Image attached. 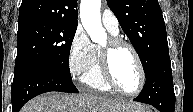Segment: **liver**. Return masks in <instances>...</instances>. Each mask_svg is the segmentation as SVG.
Here are the masks:
<instances>
[{
  "instance_id": "liver-1",
  "label": "liver",
  "mask_w": 193,
  "mask_h": 112,
  "mask_svg": "<svg viewBox=\"0 0 193 112\" xmlns=\"http://www.w3.org/2000/svg\"><path fill=\"white\" fill-rule=\"evenodd\" d=\"M140 106L133 101L91 94L66 95L49 92L30 100L21 112H126Z\"/></svg>"
}]
</instances>
